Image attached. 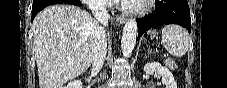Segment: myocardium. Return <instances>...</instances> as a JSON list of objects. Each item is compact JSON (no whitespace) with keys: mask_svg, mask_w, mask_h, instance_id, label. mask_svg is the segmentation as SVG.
I'll list each match as a JSON object with an SVG mask.
<instances>
[{"mask_svg":"<svg viewBox=\"0 0 227 88\" xmlns=\"http://www.w3.org/2000/svg\"><path fill=\"white\" fill-rule=\"evenodd\" d=\"M154 0H143L138 4L124 7L122 10L129 15H142L148 12Z\"/></svg>","mask_w":227,"mask_h":88,"instance_id":"myocardium-1","label":"myocardium"}]
</instances>
